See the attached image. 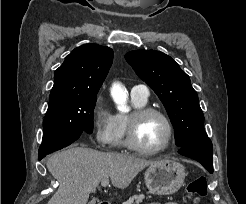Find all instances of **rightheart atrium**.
Instances as JSON below:
<instances>
[{
  "label": "right heart atrium",
  "instance_id": "d8ad5b80",
  "mask_svg": "<svg viewBox=\"0 0 246 204\" xmlns=\"http://www.w3.org/2000/svg\"><path fill=\"white\" fill-rule=\"evenodd\" d=\"M115 115L108 108L102 95L95 99L92 109V136L94 142L105 147L111 142Z\"/></svg>",
  "mask_w": 246,
  "mask_h": 204
}]
</instances>
